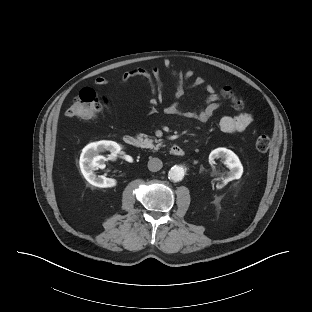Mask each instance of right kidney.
<instances>
[{
	"instance_id": "obj_1",
	"label": "right kidney",
	"mask_w": 312,
	"mask_h": 312,
	"mask_svg": "<svg viewBox=\"0 0 312 312\" xmlns=\"http://www.w3.org/2000/svg\"><path fill=\"white\" fill-rule=\"evenodd\" d=\"M121 147L114 141H98L88 144L83 148L80 156V169L84 178L93 186L100 188L114 187L117 181L105 176H96V168H104L106 158L99 155L100 152L110 151L111 157L115 158Z\"/></svg>"
}]
</instances>
